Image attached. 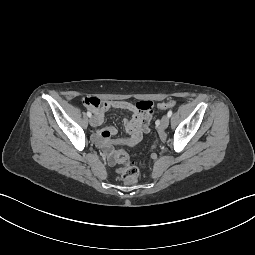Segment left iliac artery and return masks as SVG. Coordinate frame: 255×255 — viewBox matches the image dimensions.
Here are the masks:
<instances>
[{"label":"left iliac artery","instance_id":"1","mask_svg":"<svg viewBox=\"0 0 255 255\" xmlns=\"http://www.w3.org/2000/svg\"><path fill=\"white\" fill-rule=\"evenodd\" d=\"M167 116L170 118L172 116V110H169Z\"/></svg>","mask_w":255,"mask_h":255}]
</instances>
